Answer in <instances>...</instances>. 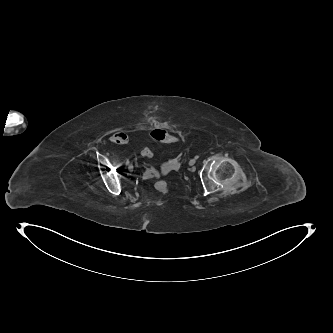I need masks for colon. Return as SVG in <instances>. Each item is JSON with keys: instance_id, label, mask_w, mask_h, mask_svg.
I'll return each mask as SVG.
<instances>
[{"instance_id": "5ec220e1", "label": "colon", "mask_w": 333, "mask_h": 333, "mask_svg": "<svg viewBox=\"0 0 333 333\" xmlns=\"http://www.w3.org/2000/svg\"><path fill=\"white\" fill-rule=\"evenodd\" d=\"M152 141L154 143L158 144H168V143H173L178 141V136L166 131V130H161V129H156L152 132ZM154 155V151L151 147H145L142 150V156L145 159H150ZM148 174L150 177L157 178L158 181L155 183V189L158 193L164 195L167 194L169 191V184L167 181L160 179V176L157 173V170L155 167L150 166L149 169L147 170Z\"/></svg>"}]
</instances>
